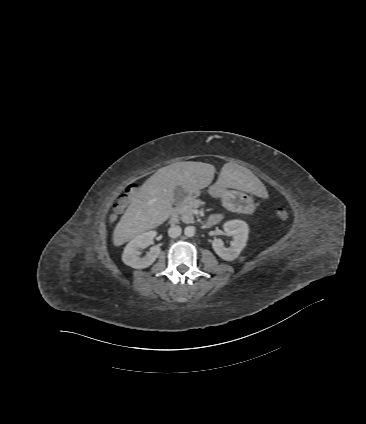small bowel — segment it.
I'll return each mask as SVG.
<instances>
[{
  "mask_svg": "<svg viewBox=\"0 0 366 424\" xmlns=\"http://www.w3.org/2000/svg\"><path fill=\"white\" fill-rule=\"evenodd\" d=\"M221 218H222V215L220 213H216L210 218V220L214 221L216 224L221 220Z\"/></svg>",
  "mask_w": 366,
  "mask_h": 424,
  "instance_id": "small-bowel-1",
  "label": "small bowel"
}]
</instances>
